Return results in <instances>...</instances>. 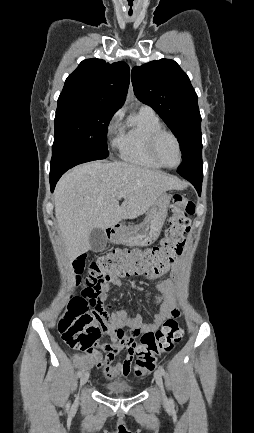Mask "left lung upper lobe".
<instances>
[{"label":"left lung upper lobe","instance_id":"obj_1","mask_svg":"<svg viewBox=\"0 0 254 433\" xmlns=\"http://www.w3.org/2000/svg\"><path fill=\"white\" fill-rule=\"evenodd\" d=\"M131 79L137 98L152 107L175 134L183 153L181 174L203 175L201 115L189 77L169 59L135 66Z\"/></svg>","mask_w":254,"mask_h":433}]
</instances>
